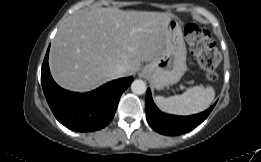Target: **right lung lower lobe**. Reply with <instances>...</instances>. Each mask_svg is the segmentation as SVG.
Listing matches in <instances>:
<instances>
[{"label":"right lung lower lobe","instance_id":"obj_1","mask_svg":"<svg viewBox=\"0 0 261 162\" xmlns=\"http://www.w3.org/2000/svg\"><path fill=\"white\" fill-rule=\"evenodd\" d=\"M47 50L41 71V83L46 100L56 119L69 129L91 132L107 126L114 117L122 93L133 77L104 84L88 93H74L60 88L52 79Z\"/></svg>","mask_w":261,"mask_h":162}]
</instances>
